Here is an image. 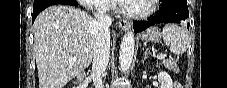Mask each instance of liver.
I'll list each match as a JSON object with an SVG mask.
<instances>
[{"instance_id":"obj_1","label":"liver","mask_w":227,"mask_h":88,"mask_svg":"<svg viewBox=\"0 0 227 88\" xmlns=\"http://www.w3.org/2000/svg\"><path fill=\"white\" fill-rule=\"evenodd\" d=\"M95 25L88 13L67 5L50 6L37 16L34 53L39 88H63L91 64Z\"/></svg>"}]
</instances>
